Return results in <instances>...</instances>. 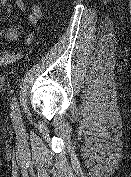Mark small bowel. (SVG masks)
I'll return each instance as SVG.
<instances>
[{
    "label": "small bowel",
    "mask_w": 131,
    "mask_h": 177,
    "mask_svg": "<svg viewBox=\"0 0 131 177\" xmlns=\"http://www.w3.org/2000/svg\"><path fill=\"white\" fill-rule=\"evenodd\" d=\"M17 6L26 12V5L24 0H16ZM0 6L6 10L8 8V0H0ZM42 10L37 4H31L30 12L27 14V21L30 25H36L41 18ZM33 34L30 33L26 37V41L29 42L32 39ZM6 39L8 41H17L19 39V32L15 27H5L0 29V39ZM21 57V53L15 50H7L0 53V65L4 63H10L18 60Z\"/></svg>",
    "instance_id": "small-bowel-1"
}]
</instances>
